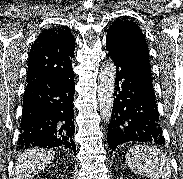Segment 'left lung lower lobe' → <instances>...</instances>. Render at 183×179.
<instances>
[{
  "mask_svg": "<svg viewBox=\"0 0 183 179\" xmlns=\"http://www.w3.org/2000/svg\"><path fill=\"white\" fill-rule=\"evenodd\" d=\"M106 49L117 71L116 98L107 134L110 149L128 141L164 145L151 72L146 62L113 37H106Z\"/></svg>",
  "mask_w": 183,
  "mask_h": 179,
  "instance_id": "left-lung-lower-lobe-1",
  "label": "left lung lower lobe"
}]
</instances>
